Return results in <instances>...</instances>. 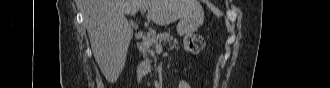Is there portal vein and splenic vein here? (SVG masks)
Masks as SVG:
<instances>
[{
  "label": "portal vein and splenic vein",
  "mask_w": 330,
  "mask_h": 88,
  "mask_svg": "<svg viewBox=\"0 0 330 88\" xmlns=\"http://www.w3.org/2000/svg\"><path fill=\"white\" fill-rule=\"evenodd\" d=\"M141 12L145 13L146 9H141ZM156 49H157V51H162V46L161 45H156Z\"/></svg>",
  "instance_id": "1"
}]
</instances>
